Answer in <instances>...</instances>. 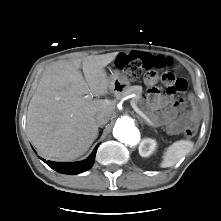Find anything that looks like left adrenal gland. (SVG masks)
Listing matches in <instances>:
<instances>
[{
  "label": "left adrenal gland",
  "mask_w": 221,
  "mask_h": 221,
  "mask_svg": "<svg viewBox=\"0 0 221 221\" xmlns=\"http://www.w3.org/2000/svg\"><path fill=\"white\" fill-rule=\"evenodd\" d=\"M139 120L141 121V123H143V120L141 118H139Z\"/></svg>",
  "instance_id": "1"
}]
</instances>
